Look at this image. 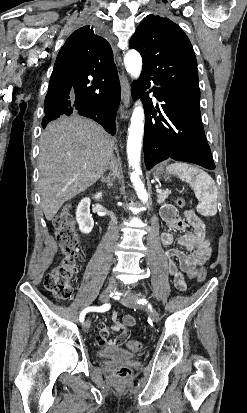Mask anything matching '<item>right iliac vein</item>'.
<instances>
[{
  "label": "right iliac vein",
  "instance_id": "right-iliac-vein-1",
  "mask_svg": "<svg viewBox=\"0 0 247 413\" xmlns=\"http://www.w3.org/2000/svg\"><path fill=\"white\" fill-rule=\"evenodd\" d=\"M114 290V286L113 285H109L104 291L103 293L100 295L99 300L101 302H108L110 300V293ZM91 327V321L89 319H87L84 323H83V330L84 331H88Z\"/></svg>",
  "mask_w": 247,
  "mask_h": 413
}]
</instances>
